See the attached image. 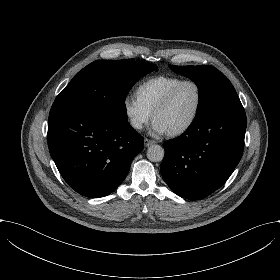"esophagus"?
Masks as SVG:
<instances>
[{
    "instance_id": "34e87169",
    "label": "esophagus",
    "mask_w": 280,
    "mask_h": 280,
    "mask_svg": "<svg viewBox=\"0 0 280 280\" xmlns=\"http://www.w3.org/2000/svg\"><path fill=\"white\" fill-rule=\"evenodd\" d=\"M154 143H155V141H153L151 139H147V138L144 139L145 147H149V146L153 145Z\"/></svg>"
}]
</instances>
